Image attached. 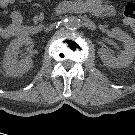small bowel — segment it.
I'll return each instance as SVG.
<instances>
[{"instance_id": "small-bowel-1", "label": "small bowel", "mask_w": 135, "mask_h": 135, "mask_svg": "<svg viewBox=\"0 0 135 135\" xmlns=\"http://www.w3.org/2000/svg\"><path fill=\"white\" fill-rule=\"evenodd\" d=\"M16 0H0L1 7H8L15 3ZM86 6L90 13L97 17H107L114 14V8L108 0H85ZM23 17L20 12L14 11L10 15V23L0 26V36L2 38H11L17 35H23Z\"/></svg>"}]
</instances>
